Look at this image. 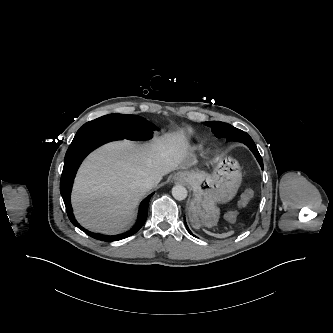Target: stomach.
<instances>
[{
	"instance_id": "1",
	"label": "stomach",
	"mask_w": 333,
	"mask_h": 333,
	"mask_svg": "<svg viewBox=\"0 0 333 333\" xmlns=\"http://www.w3.org/2000/svg\"><path fill=\"white\" fill-rule=\"evenodd\" d=\"M211 164L213 170L210 174L199 169L182 168L174 176L193 191L188 214L194 227L215 226L220 217L217 203L230 201L242 181L241 167L232 156L217 155Z\"/></svg>"
}]
</instances>
